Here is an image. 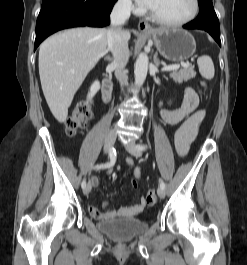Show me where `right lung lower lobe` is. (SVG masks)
<instances>
[{"mask_svg":"<svg viewBox=\"0 0 247 265\" xmlns=\"http://www.w3.org/2000/svg\"><path fill=\"white\" fill-rule=\"evenodd\" d=\"M117 0H43L36 22L34 50L56 31L79 26L103 27Z\"/></svg>","mask_w":247,"mask_h":265,"instance_id":"obj_1","label":"right lung lower lobe"}]
</instances>
